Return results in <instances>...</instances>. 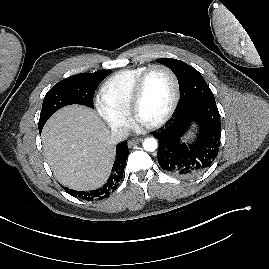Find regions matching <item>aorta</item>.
I'll return each mask as SVG.
<instances>
[{
  "mask_svg": "<svg viewBox=\"0 0 269 269\" xmlns=\"http://www.w3.org/2000/svg\"><path fill=\"white\" fill-rule=\"evenodd\" d=\"M158 143L157 140L153 137L145 138L143 141V148L147 152H153L157 149Z\"/></svg>",
  "mask_w": 269,
  "mask_h": 269,
  "instance_id": "obj_1",
  "label": "aorta"
}]
</instances>
